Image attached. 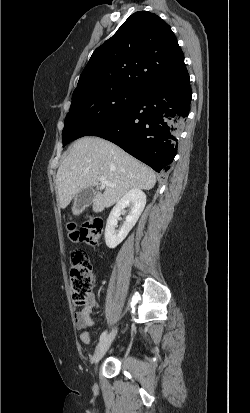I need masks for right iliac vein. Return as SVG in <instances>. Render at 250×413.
Listing matches in <instances>:
<instances>
[{
  "label": "right iliac vein",
  "mask_w": 250,
  "mask_h": 413,
  "mask_svg": "<svg viewBox=\"0 0 250 413\" xmlns=\"http://www.w3.org/2000/svg\"><path fill=\"white\" fill-rule=\"evenodd\" d=\"M117 330H113L108 336H106L96 347V350L94 352L93 356V361L95 364V368L97 369V364L99 361L102 359V357L105 355L107 350L109 349L113 339L115 338Z\"/></svg>",
  "instance_id": "63e3f726"
}]
</instances>
